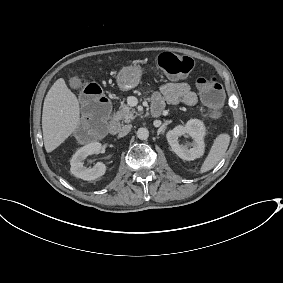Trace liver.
Wrapping results in <instances>:
<instances>
[{
  "instance_id": "1",
  "label": "liver",
  "mask_w": 283,
  "mask_h": 283,
  "mask_svg": "<svg viewBox=\"0 0 283 283\" xmlns=\"http://www.w3.org/2000/svg\"><path fill=\"white\" fill-rule=\"evenodd\" d=\"M81 108L77 96L59 78L50 88L43 106L42 132L47 153L65 142L80 125Z\"/></svg>"
}]
</instances>
